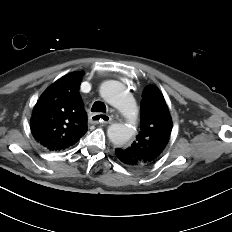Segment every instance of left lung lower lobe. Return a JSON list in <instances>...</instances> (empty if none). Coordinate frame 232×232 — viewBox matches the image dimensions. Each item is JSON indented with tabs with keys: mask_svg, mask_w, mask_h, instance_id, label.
<instances>
[{
	"mask_svg": "<svg viewBox=\"0 0 232 232\" xmlns=\"http://www.w3.org/2000/svg\"><path fill=\"white\" fill-rule=\"evenodd\" d=\"M116 158L124 165L133 167L135 161H133L128 155H126L121 148L115 149Z\"/></svg>",
	"mask_w": 232,
	"mask_h": 232,
	"instance_id": "obj_1",
	"label": "left lung lower lobe"
}]
</instances>
